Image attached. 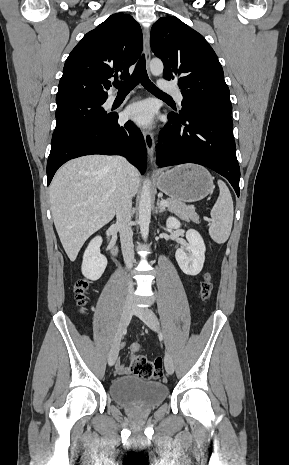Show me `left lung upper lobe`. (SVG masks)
Returning <instances> with one entry per match:
<instances>
[{
	"mask_svg": "<svg viewBox=\"0 0 289 465\" xmlns=\"http://www.w3.org/2000/svg\"><path fill=\"white\" fill-rule=\"evenodd\" d=\"M150 45L164 63V78L178 81L183 95L180 115L190 107L231 114L222 66L201 34L178 18L167 16L152 26Z\"/></svg>",
	"mask_w": 289,
	"mask_h": 465,
	"instance_id": "left-lung-upper-lobe-1",
	"label": "left lung upper lobe"
}]
</instances>
